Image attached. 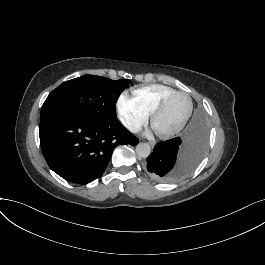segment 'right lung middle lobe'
Listing matches in <instances>:
<instances>
[{
	"label": "right lung middle lobe",
	"mask_w": 265,
	"mask_h": 265,
	"mask_svg": "<svg viewBox=\"0 0 265 265\" xmlns=\"http://www.w3.org/2000/svg\"><path fill=\"white\" fill-rule=\"evenodd\" d=\"M129 79L111 80L84 75L62 83L45 100L40 121L62 113H76L102 121L116 120L115 105Z\"/></svg>",
	"instance_id": "obj_1"
}]
</instances>
